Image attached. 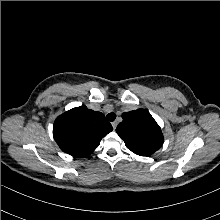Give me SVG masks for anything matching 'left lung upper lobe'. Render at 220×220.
<instances>
[{
    "mask_svg": "<svg viewBox=\"0 0 220 220\" xmlns=\"http://www.w3.org/2000/svg\"><path fill=\"white\" fill-rule=\"evenodd\" d=\"M122 118L116 132L133 153L150 156L162 146L164 138L161 129L147 110L126 112Z\"/></svg>",
    "mask_w": 220,
    "mask_h": 220,
    "instance_id": "obj_1",
    "label": "left lung upper lobe"
}]
</instances>
